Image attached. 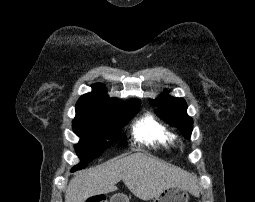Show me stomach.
<instances>
[{"label":"stomach","instance_id":"0dacf381","mask_svg":"<svg viewBox=\"0 0 255 202\" xmlns=\"http://www.w3.org/2000/svg\"><path fill=\"white\" fill-rule=\"evenodd\" d=\"M188 191L180 186H170L154 197L153 202H189ZM110 202H129L128 197L122 194H115Z\"/></svg>","mask_w":255,"mask_h":202}]
</instances>
